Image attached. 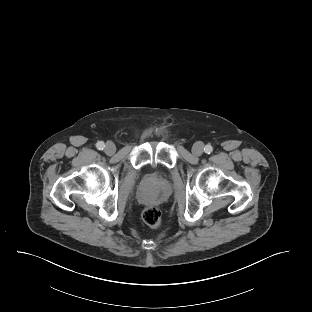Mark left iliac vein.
<instances>
[{
  "mask_svg": "<svg viewBox=\"0 0 312 312\" xmlns=\"http://www.w3.org/2000/svg\"><path fill=\"white\" fill-rule=\"evenodd\" d=\"M204 152V146L201 142H196L192 147V153L195 156H200Z\"/></svg>",
  "mask_w": 312,
  "mask_h": 312,
  "instance_id": "4c4485c4",
  "label": "left iliac vein"
}]
</instances>
